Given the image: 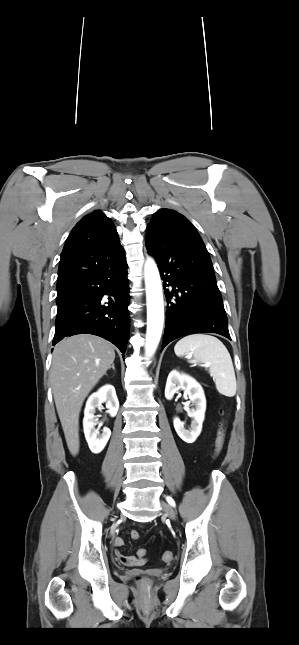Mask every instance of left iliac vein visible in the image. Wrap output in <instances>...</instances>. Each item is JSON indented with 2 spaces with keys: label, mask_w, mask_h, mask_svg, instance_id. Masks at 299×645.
<instances>
[{
  "label": "left iliac vein",
  "mask_w": 299,
  "mask_h": 645,
  "mask_svg": "<svg viewBox=\"0 0 299 645\" xmlns=\"http://www.w3.org/2000/svg\"><path fill=\"white\" fill-rule=\"evenodd\" d=\"M161 506H162L163 512L168 517H170L171 519L176 518V513H175L174 509L168 503H166L165 501H161Z\"/></svg>",
  "instance_id": "4c4485c4"
}]
</instances>
